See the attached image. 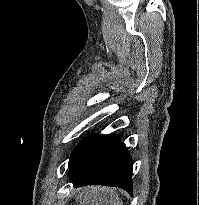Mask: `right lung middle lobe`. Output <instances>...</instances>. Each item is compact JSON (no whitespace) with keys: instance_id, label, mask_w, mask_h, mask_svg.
I'll return each mask as SVG.
<instances>
[{"instance_id":"obj_1","label":"right lung middle lobe","mask_w":199,"mask_h":205,"mask_svg":"<svg viewBox=\"0 0 199 205\" xmlns=\"http://www.w3.org/2000/svg\"><path fill=\"white\" fill-rule=\"evenodd\" d=\"M110 137L111 136L109 135H93L85 138L76 146V148L72 152L69 161V167L93 149L104 144Z\"/></svg>"}]
</instances>
